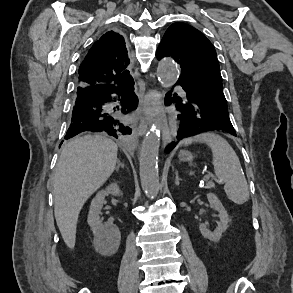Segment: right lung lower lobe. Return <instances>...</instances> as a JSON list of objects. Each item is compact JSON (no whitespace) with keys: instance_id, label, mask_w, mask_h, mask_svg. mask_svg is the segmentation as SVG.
I'll use <instances>...</instances> for the list:
<instances>
[{"instance_id":"98d812e1","label":"right lung lower lobe","mask_w":293,"mask_h":293,"mask_svg":"<svg viewBox=\"0 0 293 293\" xmlns=\"http://www.w3.org/2000/svg\"><path fill=\"white\" fill-rule=\"evenodd\" d=\"M133 86V79L121 85L79 86L65 139L85 131L106 132L115 138L131 134V129L121 122L119 114L136 108L138 99ZM116 101L121 104L110 107Z\"/></svg>"}]
</instances>
